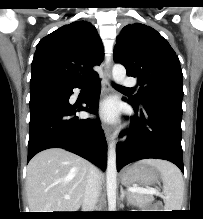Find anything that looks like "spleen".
Here are the masks:
<instances>
[{"label": "spleen", "mask_w": 203, "mask_h": 219, "mask_svg": "<svg viewBox=\"0 0 203 219\" xmlns=\"http://www.w3.org/2000/svg\"><path fill=\"white\" fill-rule=\"evenodd\" d=\"M139 163L153 166L160 171L166 211L181 210L184 182L180 170L174 164L160 159H144Z\"/></svg>", "instance_id": "spleen-1"}]
</instances>
